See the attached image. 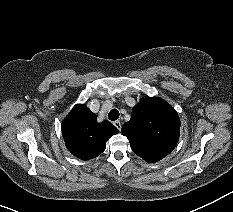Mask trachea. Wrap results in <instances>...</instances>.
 I'll return each instance as SVG.
<instances>
[{"label":"trachea","instance_id":"trachea-1","mask_svg":"<svg viewBox=\"0 0 233 212\" xmlns=\"http://www.w3.org/2000/svg\"><path fill=\"white\" fill-rule=\"evenodd\" d=\"M118 117H119V111L117 109H112L108 114V118L111 121L117 120Z\"/></svg>","mask_w":233,"mask_h":212}]
</instances>
